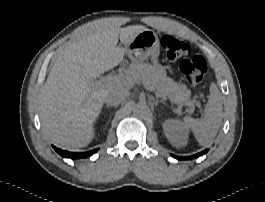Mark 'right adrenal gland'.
Returning <instances> with one entry per match:
<instances>
[{"label": "right adrenal gland", "mask_w": 265, "mask_h": 202, "mask_svg": "<svg viewBox=\"0 0 265 202\" xmlns=\"http://www.w3.org/2000/svg\"><path fill=\"white\" fill-rule=\"evenodd\" d=\"M116 107H117V106H114V105H108V104L106 105V108H107V109H109V108H114V109H115Z\"/></svg>", "instance_id": "1"}]
</instances>
